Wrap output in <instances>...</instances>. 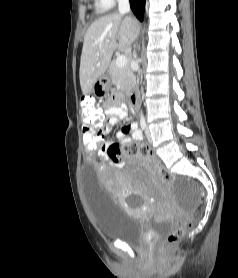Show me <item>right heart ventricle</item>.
Listing matches in <instances>:
<instances>
[{
	"label": "right heart ventricle",
	"mask_w": 238,
	"mask_h": 278,
	"mask_svg": "<svg viewBox=\"0 0 238 278\" xmlns=\"http://www.w3.org/2000/svg\"><path fill=\"white\" fill-rule=\"evenodd\" d=\"M94 6L97 13H105L112 6L105 0H94Z\"/></svg>",
	"instance_id": "e07e8e85"
}]
</instances>
